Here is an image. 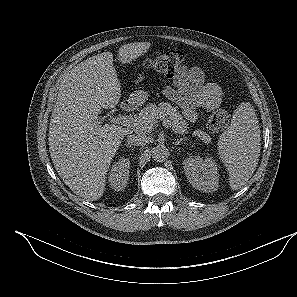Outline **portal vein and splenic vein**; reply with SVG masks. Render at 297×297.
<instances>
[{
	"label": "portal vein and splenic vein",
	"mask_w": 297,
	"mask_h": 297,
	"mask_svg": "<svg viewBox=\"0 0 297 297\" xmlns=\"http://www.w3.org/2000/svg\"><path fill=\"white\" fill-rule=\"evenodd\" d=\"M115 123H121L123 126H127L130 128H137L139 129L142 125V123L135 118L128 117V116H121L117 118H113Z\"/></svg>",
	"instance_id": "obj_1"
}]
</instances>
